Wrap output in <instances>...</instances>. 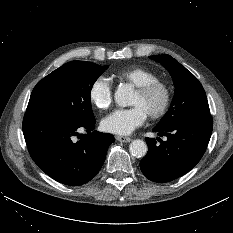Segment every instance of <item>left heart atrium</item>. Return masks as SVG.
<instances>
[{"mask_svg":"<svg viewBox=\"0 0 233 233\" xmlns=\"http://www.w3.org/2000/svg\"><path fill=\"white\" fill-rule=\"evenodd\" d=\"M146 118L147 114L139 106L117 109L102 120V127L110 133L127 135L141 126Z\"/></svg>","mask_w":233,"mask_h":233,"instance_id":"obj_1","label":"left heart atrium"}]
</instances>
